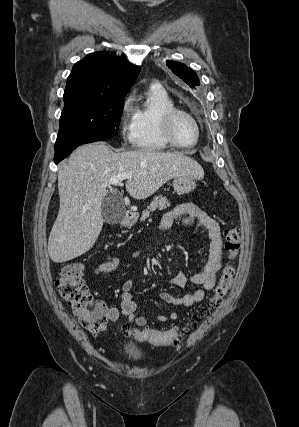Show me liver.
<instances>
[{
  "label": "liver",
  "mask_w": 299,
  "mask_h": 427,
  "mask_svg": "<svg viewBox=\"0 0 299 427\" xmlns=\"http://www.w3.org/2000/svg\"><path fill=\"white\" fill-rule=\"evenodd\" d=\"M121 173L132 175L126 190L139 200L176 176H204L197 161L179 152L141 149L116 153L104 142L80 146L58 171L60 208L48 240L53 262L72 260L93 247L103 227L101 204L106 187ZM104 184L107 186L102 187Z\"/></svg>",
  "instance_id": "liver-1"
}]
</instances>
